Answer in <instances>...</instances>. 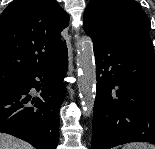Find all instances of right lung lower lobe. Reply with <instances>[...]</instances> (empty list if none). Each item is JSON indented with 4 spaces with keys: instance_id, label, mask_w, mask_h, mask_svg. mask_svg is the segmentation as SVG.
Segmentation results:
<instances>
[{
    "instance_id": "98d812e1",
    "label": "right lung lower lobe",
    "mask_w": 155,
    "mask_h": 149,
    "mask_svg": "<svg viewBox=\"0 0 155 149\" xmlns=\"http://www.w3.org/2000/svg\"><path fill=\"white\" fill-rule=\"evenodd\" d=\"M67 67L66 52L49 66L27 73L20 88L1 90L0 132L23 139L37 149H56ZM31 88L41 91L40 97L31 96Z\"/></svg>"
}]
</instances>
